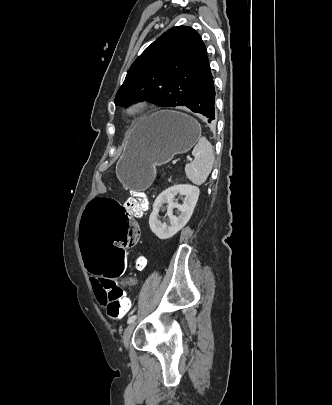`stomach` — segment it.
Segmentation results:
<instances>
[{
    "label": "stomach",
    "mask_w": 332,
    "mask_h": 405,
    "mask_svg": "<svg viewBox=\"0 0 332 405\" xmlns=\"http://www.w3.org/2000/svg\"><path fill=\"white\" fill-rule=\"evenodd\" d=\"M201 138V126L183 112L164 110L140 118L116 164V176L127 189L146 190L161 166L189 151Z\"/></svg>",
    "instance_id": "0dacf381"
}]
</instances>
